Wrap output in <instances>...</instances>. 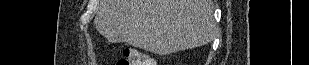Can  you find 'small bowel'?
<instances>
[{
  "label": "small bowel",
  "instance_id": "small-bowel-1",
  "mask_svg": "<svg viewBox=\"0 0 309 65\" xmlns=\"http://www.w3.org/2000/svg\"><path fill=\"white\" fill-rule=\"evenodd\" d=\"M146 63L148 64V63H154V61H152V60H148V61H146Z\"/></svg>",
  "mask_w": 309,
  "mask_h": 65
}]
</instances>
